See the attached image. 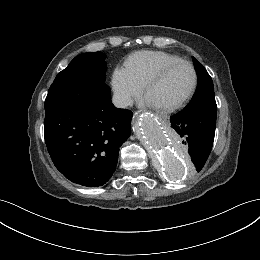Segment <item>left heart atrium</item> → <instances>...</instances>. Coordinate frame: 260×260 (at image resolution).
<instances>
[{"mask_svg":"<svg viewBox=\"0 0 260 260\" xmlns=\"http://www.w3.org/2000/svg\"><path fill=\"white\" fill-rule=\"evenodd\" d=\"M147 102H148L149 104H153L152 101H151L150 99H148V98H147Z\"/></svg>","mask_w":260,"mask_h":260,"instance_id":"obj_1","label":"left heart atrium"}]
</instances>
